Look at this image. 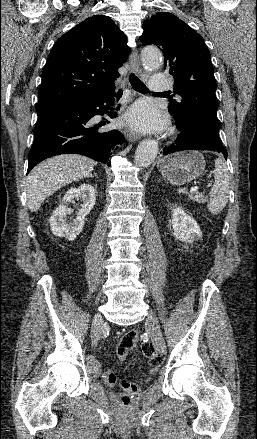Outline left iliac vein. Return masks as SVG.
<instances>
[{
	"mask_svg": "<svg viewBox=\"0 0 257 439\" xmlns=\"http://www.w3.org/2000/svg\"><path fill=\"white\" fill-rule=\"evenodd\" d=\"M147 330L158 351L161 354H164L166 350L165 341L160 330L158 318L152 311H149L147 315Z\"/></svg>",
	"mask_w": 257,
	"mask_h": 439,
	"instance_id": "obj_1",
	"label": "left iliac vein"
}]
</instances>
